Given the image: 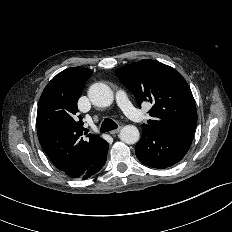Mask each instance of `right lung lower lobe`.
I'll use <instances>...</instances> for the list:
<instances>
[{
  "mask_svg": "<svg viewBox=\"0 0 232 232\" xmlns=\"http://www.w3.org/2000/svg\"><path fill=\"white\" fill-rule=\"evenodd\" d=\"M109 145L104 150L102 155L99 157V159L91 166L89 167L86 172L81 176L82 179H87L91 175H94L97 173L105 164L106 158H107V152H108Z\"/></svg>",
  "mask_w": 232,
  "mask_h": 232,
  "instance_id": "98d812e1",
  "label": "right lung lower lobe"
}]
</instances>
